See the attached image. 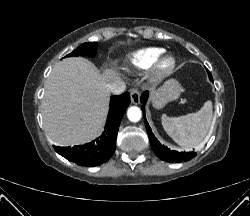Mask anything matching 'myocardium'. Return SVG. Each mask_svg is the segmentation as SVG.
<instances>
[{
	"mask_svg": "<svg viewBox=\"0 0 250 216\" xmlns=\"http://www.w3.org/2000/svg\"><path fill=\"white\" fill-rule=\"evenodd\" d=\"M176 66V59L173 55L163 53L152 64L149 70L150 80L153 83H160L169 77Z\"/></svg>",
	"mask_w": 250,
	"mask_h": 216,
	"instance_id": "1",
	"label": "myocardium"
}]
</instances>
